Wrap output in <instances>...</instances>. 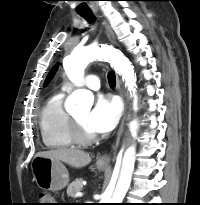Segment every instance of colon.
<instances>
[{"label": "colon", "instance_id": "colon-1", "mask_svg": "<svg viewBox=\"0 0 200 205\" xmlns=\"http://www.w3.org/2000/svg\"><path fill=\"white\" fill-rule=\"evenodd\" d=\"M53 197L48 192H41L39 194V203L38 205H54Z\"/></svg>", "mask_w": 200, "mask_h": 205}]
</instances>
